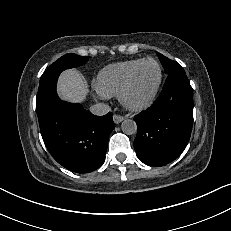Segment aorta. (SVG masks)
<instances>
[{"instance_id": "1", "label": "aorta", "mask_w": 231, "mask_h": 231, "mask_svg": "<svg viewBox=\"0 0 231 231\" xmlns=\"http://www.w3.org/2000/svg\"><path fill=\"white\" fill-rule=\"evenodd\" d=\"M121 129L123 133L127 135H132L137 132V124L132 119H125L121 124Z\"/></svg>"}]
</instances>
